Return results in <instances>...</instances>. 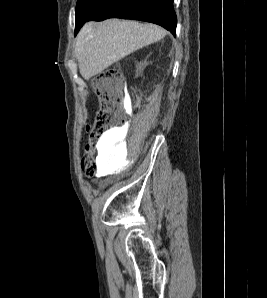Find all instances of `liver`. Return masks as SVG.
I'll use <instances>...</instances> for the list:
<instances>
[{"instance_id":"1","label":"liver","mask_w":267,"mask_h":298,"mask_svg":"<svg viewBox=\"0 0 267 298\" xmlns=\"http://www.w3.org/2000/svg\"><path fill=\"white\" fill-rule=\"evenodd\" d=\"M165 34L157 25L137 21L87 22L75 45L80 74L88 80L130 53L161 40Z\"/></svg>"}]
</instances>
